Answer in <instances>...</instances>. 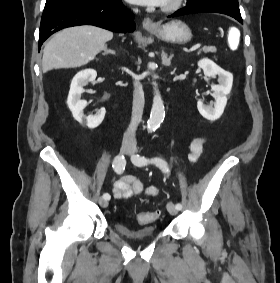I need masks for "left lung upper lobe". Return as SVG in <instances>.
Here are the masks:
<instances>
[{"mask_svg":"<svg viewBox=\"0 0 280 283\" xmlns=\"http://www.w3.org/2000/svg\"><path fill=\"white\" fill-rule=\"evenodd\" d=\"M187 5H206L220 8L241 17L238 0H187Z\"/></svg>","mask_w":280,"mask_h":283,"instance_id":"1","label":"left lung upper lobe"}]
</instances>
